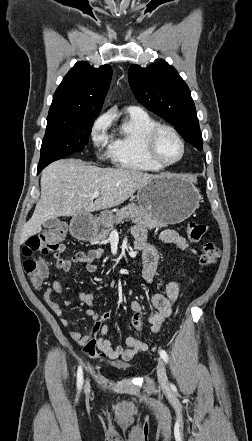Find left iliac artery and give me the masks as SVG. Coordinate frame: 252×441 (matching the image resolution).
Returning a JSON list of instances; mask_svg holds the SVG:
<instances>
[{
	"label": "left iliac artery",
	"instance_id": "1",
	"mask_svg": "<svg viewBox=\"0 0 252 441\" xmlns=\"http://www.w3.org/2000/svg\"><path fill=\"white\" fill-rule=\"evenodd\" d=\"M159 354H160L161 358L164 360V362L167 363L168 362V355H167L166 351L161 349L159 351Z\"/></svg>",
	"mask_w": 252,
	"mask_h": 441
}]
</instances>
